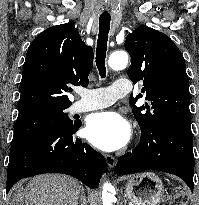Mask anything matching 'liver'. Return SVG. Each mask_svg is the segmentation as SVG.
I'll return each instance as SVG.
<instances>
[{"label":"liver","instance_id":"obj_1","mask_svg":"<svg viewBox=\"0 0 199 205\" xmlns=\"http://www.w3.org/2000/svg\"><path fill=\"white\" fill-rule=\"evenodd\" d=\"M81 186L77 180L60 174L32 178L24 191L26 205H78Z\"/></svg>","mask_w":199,"mask_h":205}]
</instances>
